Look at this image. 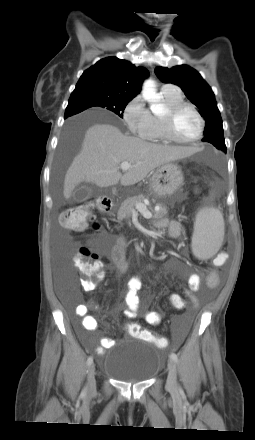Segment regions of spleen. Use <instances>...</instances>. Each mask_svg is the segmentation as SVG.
I'll return each mask as SVG.
<instances>
[{"label":"spleen","instance_id":"1","mask_svg":"<svg viewBox=\"0 0 255 440\" xmlns=\"http://www.w3.org/2000/svg\"><path fill=\"white\" fill-rule=\"evenodd\" d=\"M224 238V219L214 208L200 209L195 218V228L191 248L199 259H209L222 245Z\"/></svg>","mask_w":255,"mask_h":440}]
</instances>
